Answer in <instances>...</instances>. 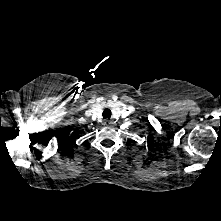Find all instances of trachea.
<instances>
[{
	"instance_id": "1",
	"label": "trachea",
	"mask_w": 221,
	"mask_h": 221,
	"mask_svg": "<svg viewBox=\"0 0 221 221\" xmlns=\"http://www.w3.org/2000/svg\"><path fill=\"white\" fill-rule=\"evenodd\" d=\"M102 115H103L104 119H110V117H111V110L110 109H105L103 111Z\"/></svg>"
}]
</instances>
